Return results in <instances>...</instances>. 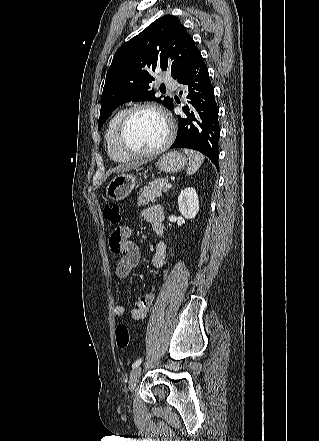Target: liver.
I'll return each instance as SVG.
<instances>
[{"label": "liver", "instance_id": "6515ba94", "mask_svg": "<svg viewBox=\"0 0 319 441\" xmlns=\"http://www.w3.org/2000/svg\"><path fill=\"white\" fill-rule=\"evenodd\" d=\"M142 164H143L142 162L124 163L122 165H119V166L115 167L112 171L117 172V173H122V172H125V171H130V170L137 169Z\"/></svg>", "mask_w": 319, "mask_h": 441}]
</instances>
